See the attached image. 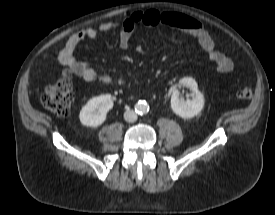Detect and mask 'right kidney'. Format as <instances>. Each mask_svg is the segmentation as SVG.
I'll list each match as a JSON object with an SVG mask.
<instances>
[{
	"mask_svg": "<svg viewBox=\"0 0 275 215\" xmlns=\"http://www.w3.org/2000/svg\"><path fill=\"white\" fill-rule=\"evenodd\" d=\"M113 100L110 94L100 95L90 99L80 111V122L89 127L100 126L105 120L107 112L112 109Z\"/></svg>",
	"mask_w": 275,
	"mask_h": 215,
	"instance_id": "obj_1",
	"label": "right kidney"
}]
</instances>
